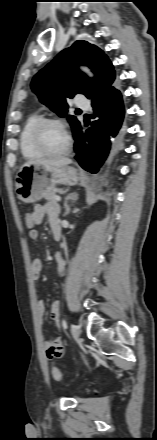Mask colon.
Listing matches in <instances>:
<instances>
[{
    "label": "colon",
    "instance_id": "colon-1",
    "mask_svg": "<svg viewBox=\"0 0 157 440\" xmlns=\"http://www.w3.org/2000/svg\"><path fill=\"white\" fill-rule=\"evenodd\" d=\"M24 222H25V226H26L28 229H30V230L35 229V227H36V221H35V219H34V216H33V213H32V212H29V213H26V214H25V216H24ZM63 354H64L63 347H61V346H59V345L54 346V347L50 350V355H51L52 357L60 358V357L63 356ZM52 376H53V379H54L55 381H58V382L62 381V373H61L60 370H59L57 367H55V366L52 367Z\"/></svg>",
    "mask_w": 157,
    "mask_h": 440
}]
</instances>
